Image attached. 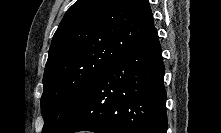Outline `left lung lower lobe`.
I'll return each instance as SVG.
<instances>
[{"mask_svg":"<svg viewBox=\"0 0 221 133\" xmlns=\"http://www.w3.org/2000/svg\"><path fill=\"white\" fill-rule=\"evenodd\" d=\"M164 74L153 27L100 74L57 133H166Z\"/></svg>","mask_w":221,"mask_h":133,"instance_id":"obj_1","label":"left lung lower lobe"}]
</instances>
